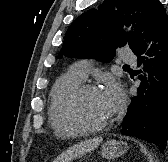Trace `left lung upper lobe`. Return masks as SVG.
<instances>
[{
    "label": "left lung upper lobe",
    "instance_id": "left-lung-upper-lobe-1",
    "mask_svg": "<svg viewBox=\"0 0 168 162\" xmlns=\"http://www.w3.org/2000/svg\"><path fill=\"white\" fill-rule=\"evenodd\" d=\"M164 15L165 9L157 0H105L97 9L88 10L73 21L59 58L65 55L109 62L119 47L128 45L132 51L140 47L142 39ZM123 25L137 29L127 34Z\"/></svg>",
    "mask_w": 168,
    "mask_h": 162
}]
</instances>
